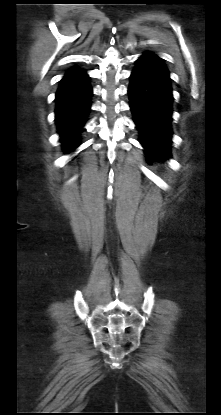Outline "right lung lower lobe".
Returning a JSON list of instances; mask_svg holds the SVG:
<instances>
[{
	"label": "right lung lower lobe",
	"instance_id": "right-lung-lower-lobe-1",
	"mask_svg": "<svg viewBox=\"0 0 221 415\" xmlns=\"http://www.w3.org/2000/svg\"><path fill=\"white\" fill-rule=\"evenodd\" d=\"M91 96L88 75L78 67L69 69L60 81L55 98V121L66 153L80 145V133L90 111Z\"/></svg>",
	"mask_w": 221,
	"mask_h": 415
}]
</instances>
